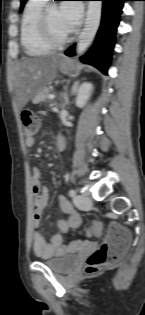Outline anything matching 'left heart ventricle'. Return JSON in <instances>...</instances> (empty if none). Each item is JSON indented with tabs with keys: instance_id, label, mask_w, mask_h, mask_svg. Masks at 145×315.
I'll return each mask as SVG.
<instances>
[{
	"instance_id": "b2bd125f",
	"label": "left heart ventricle",
	"mask_w": 145,
	"mask_h": 315,
	"mask_svg": "<svg viewBox=\"0 0 145 315\" xmlns=\"http://www.w3.org/2000/svg\"><path fill=\"white\" fill-rule=\"evenodd\" d=\"M49 24L51 32L56 39H63L71 32L56 6H51L50 8Z\"/></svg>"
}]
</instances>
